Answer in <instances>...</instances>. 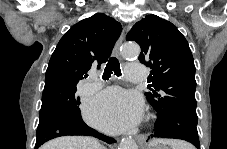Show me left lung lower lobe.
I'll return each instance as SVG.
<instances>
[{
    "label": "left lung lower lobe",
    "mask_w": 227,
    "mask_h": 149,
    "mask_svg": "<svg viewBox=\"0 0 227 149\" xmlns=\"http://www.w3.org/2000/svg\"><path fill=\"white\" fill-rule=\"evenodd\" d=\"M157 113L158 118L155 122V128L153 134L148 137V140L153 138L182 139L192 143L195 147L200 149L199 136L196 127L198 122L196 113L179 109Z\"/></svg>",
    "instance_id": "0a47b994"
}]
</instances>
